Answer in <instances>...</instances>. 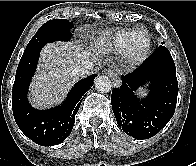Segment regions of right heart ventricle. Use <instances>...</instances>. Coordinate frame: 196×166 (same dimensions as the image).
Returning <instances> with one entry per match:
<instances>
[{
    "instance_id": "right-heart-ventricle-1",
    "label": "right heart ventricle",
    "mask_w": 196,
    "mask_h": 166,
    "mask_svg": "<svg viewBox=\"0 0 196 166\" xmlns=\"http://www.w3.org/2000/svg\"><path fill=\"white\" fill-rule=\"evenodd\" d=\"M131 29H116L98 39V47L105 52L124 54L127 51V38Z\"/></svg>"
}]
</instances>
